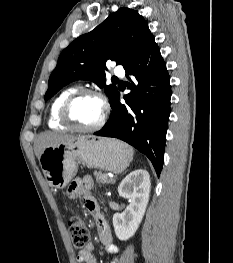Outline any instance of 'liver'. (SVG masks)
Here are the masks:
<instances>
[{
  "mask_svg": "<svg viewBox=\"0 0 233 263\" xmlns=\"http://www.w3.org/2000/svg\"><path fill=\"white\" fill-rule=\"evenodd\" d=\"M75 138L73 135L64 134L60 132H43L37 136L34 142V152L37 158H40L43 150L50 146H56L62 142Z\"/></svg>",
  "mask_w": 233,
  "mask_h": 263,
  "instance_id": "1",
  "label": "liver"
}]
</instances>
